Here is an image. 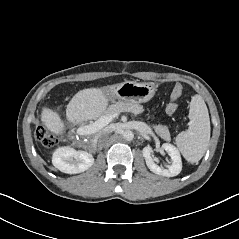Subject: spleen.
Masks as SVG:
<instances>
[{
	"label": "spleen",
	"instance_id": "spleen-1",
	"mask_svg": "<svg viewBox=\"0 0 239 239\" xmlns=\"http://www.w3.org/2000/svg\"><path fill=\"white\" fill-rule=\"evenodd\" d=\"M189 127L176 137V145L190 163L198 162L206 152L210 140V118L201 95H194L190 102Z\"/></svg>",
	"mask_w": 239,
	"mask_h": 239
}]
</instances>
